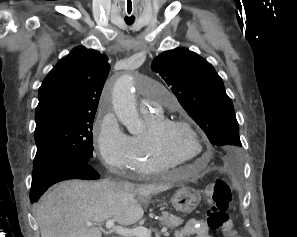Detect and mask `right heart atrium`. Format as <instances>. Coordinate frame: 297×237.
I'll list each match as a JSON object with an SVG mask.
<instances>
[{
  "label": "right heart atrium",
  "mask_w": 297,
  "mask_h": 237,
  "mask_svg": "<svg viewBox=\"0 0 297 237\" xmlns=\"http://www.w3.org/2000/svg\"><path fill=\"white\" fill-rule=\"evenodd\" d=\"M95 146L105 165L114 172L130 169L131 140L109 109L101 111L95 124Z\"/></svg>",
  "instance_id": "1"
}]
</instances>
